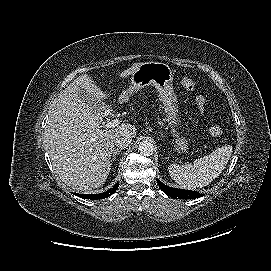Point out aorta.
I'll return each mask as SVG.
<instances>
[{
    "label": "aorta",
    "instance_id": "aorta-1",
    "mask_svg": "<svg viewBox=\"0 0 271 271\" xmlns=\"http://www.w3.org/2000/svg\"><path fill=\"white\" fill-rule=\"evenodd\" d=\"M138 149L143 156H151L154 152L153 144L147 140L140 142Z\"/></svg>",
    "mask_w": 271,
    "mask_h": 271
}]
</instances>
